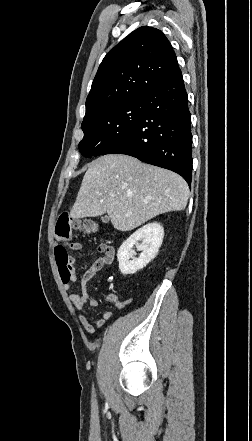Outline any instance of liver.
I'll list each match as a JSON object with an SVG mask.
<instances>
[{
    "label": "liver",
    "instance_id": "liver-1",
    "mask_svg": "<svg viewBox=\"0 0 252 441\" xmlns=\"http://www.w3.org/2000/svg\"><path fill=\"white\" fill-rule=\"evenodd\" d=\"M189 187L178 174L122 154L104 155L86 171L72 218L108 213L115 229L133 230L155 216L183 210Z\"/></svg>",
    "mask_w": 252,
    "mask_h": 441
}]
</instances>
